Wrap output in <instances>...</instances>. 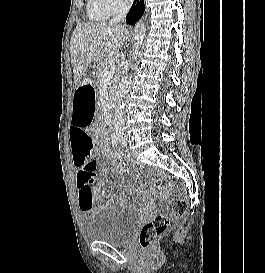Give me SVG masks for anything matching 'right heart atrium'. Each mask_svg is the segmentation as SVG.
Instances as JSON below:
<instances>
[{
	"label": "right heart atrium",
	"instance_id": "right-heart-atrium-1",
	"mask_svg": "<svg viewBox=\"0 0 265 273\" xmlns=\"http://www.w3.org/2000/svg\"><path fill=\"white\" fill-rule=\"evenodd\" d=\"M96 3L109 15H113L129 9L132 0H96Z\"/></svg>",
	"mask_w": 265,
	"mask_h": 273
}]
</instances>
